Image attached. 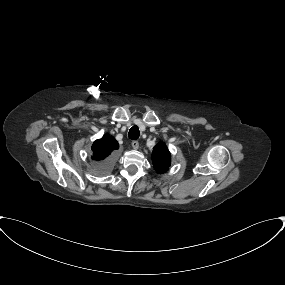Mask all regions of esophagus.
Returning a JSON list of instances; mask_svg holds the SVG:
<instances>
[{
  "mask_svg": "<svg viewBox=\"0 0 285 285\" xmlns=\"http://www.w3.org/2000/svg\"><path fill=\"white\" fill-rule=\"evenodd\" d=\"M131 145H132L133 149H138L139 148V143L136 140L132 141Z\"/></svg>",
  "mask_w": 285,
  "mask_h": 285,
  "instance_id": "obj_1",
  "label": "esophagus"
}]
</instances>
